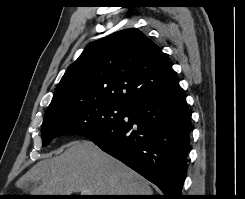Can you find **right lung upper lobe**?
Segmentation results:
<instances>
[{
	"instance_id": "1",
	"label": "right lung upper lobe",
	"mask_w": 245,
	"mask_h": 199,
	"mask_svg": "<svg viewBox=\"0 0 245 199\" xmlns=\"http://www.w3.org/2000/svg\"><path fill=\"white\" fill-rule=\"evenodd\" d=\"M178 83L161 49L141 31L126 29L84 49L59 82L45 116L87 103L129 107Z\"/></svg>"
}]
</instances>
